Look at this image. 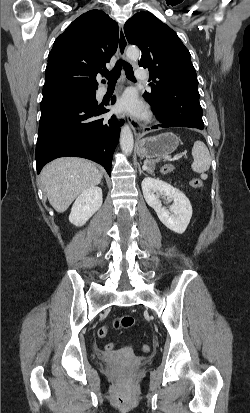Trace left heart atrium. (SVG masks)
I'll use <instances>...</instances> for the list:
<instances>
[{"mask_svg": "<svg viewBox=\"0 0 250 413\" xmlns=\"http://www.w3.org/2000/svg\"><path fill=\"white\" fill-rule=\"evenodd\" d=\"M118 108L133 115H141L144 111L142 102L138 99L135 92L127 91L119 100Z\"/></svg>", "mask_w": 250, "mask_h": 413, "instance_id": "39dd6f15", "label": "left heart atrium"}]
</instances>
